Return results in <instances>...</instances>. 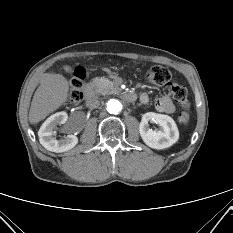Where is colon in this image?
Returning <instances> with one entry per match:
<instances>
[{
	"label": "colon",
	"instance_id": "obj_1",
	"mask_svg": "<svg viewBox=\"0 0 233 233\" xmlns=\"http://www.w3.org/2000/svg\"><path fill=\"white\" fill-rule=\"evenodd\" d=\"M85 73L82 68H76L70 79L69 100L71 103H79L83 99L82 88L84 84ZM148 81L156 86H162L165 95L178 102L183 111L179 115V120L186 123L190 119L188 112L189 101L186 88L171 80L170 70L160 65H154L147 72Z\"/></svg>",
	"mask_w": 233,
	"mask_h": 233
}]
</instances>
